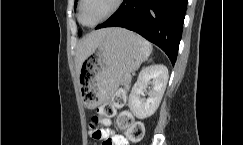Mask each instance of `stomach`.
Here are the masks:
<instances>
[{
	"instance_id": "obj_1",
	"label": "stomach",
	"mask_w": 243,
	"mask_h": 145,
	"mask_svg": "<svg viewBox=\"0 0 243 145\" xmlns=\"http://www.w3.org/2000/svg\"><path fill=\"white\" fill-rule=\"evenodd\" d=\"M151 46L142 37L123 28H113L81 66V102L98 107L110 100L124 75L135 71L150 55Z\"/></svg>"
}]
</instances>
